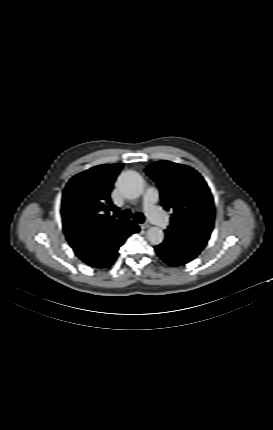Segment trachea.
I'll list each match as a JSON object with an SVG mask.
<instances>
[{"mask_svg":"<svg viewBox=\"0 0 273 430\" xmlns=\"http://www.w3.org/2000/svg\"><path fill=\"white\" fill-rule=\"evenodd\" d=\"M131 217V212L130 210H124L119 214V219L121 221H127L129 220ZM133 219L137 222V223H143L145 218L144 215L140 212H137L136 214L133 215Z\"/></svg>","mask_w":273,"mask_h":430,"instance_id":"1","label":"trachea"}]
</instances>
